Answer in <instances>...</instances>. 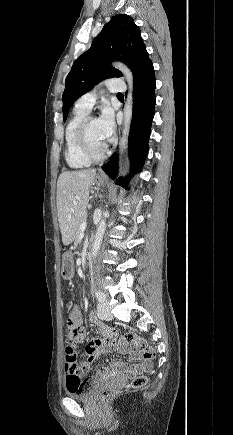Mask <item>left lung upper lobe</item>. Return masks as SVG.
Masks as SVG:
<instances>
[{"label":"left lung upper lobe","mask_w":233,"mask_h":435,"mask_svg":"<svg viewBox=\"0 0 233 435\" xmlns=\"http://www.w3.org/2000/svg\"><path fill=\"white\" fill-rule=\"evenodd\" d=\"M140 33L133 18L126 14L113 16L103 26L91 47L74 62L66 77L62 97L64 121L74 101L81 95L105 78L122 76L111 66L113 60L127 64L134 80L152 63Z\"/></svg>","instance_id":"5c2ea615"}]
</instances>
